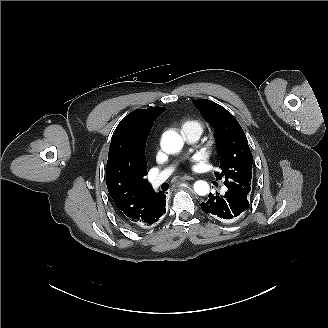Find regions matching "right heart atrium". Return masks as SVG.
Segmentation results:
<instances>
[{"mask_svg": "<svg viewBox=\"0 0 328 328\" xmlns=\"http://www.w3.org/2000/svg\"><path fill=\"white\" fill-rule=\"evenodd\" d=\"M158 148V142H156V145H155V149H157Z\"/></svg>", "mask_w": 328, "mask_h": 328, "instance_id": "obj_1", "label": "right heart atrium"}]
</instances>
